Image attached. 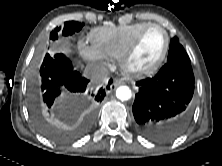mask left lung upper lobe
Returning <instances> with one entry per match:
<instances>
[{
  "instance_id": "1",
  "label": "left lung upper lobe",
  "mask_w": 222,
  "mask_h": 166,
  "mask_svg": "<svg viewBox=\"0 0 222 166\" xmlns=\"http://www.w3.org/2000/svg\"><path fill=\"white\" fill-rule=\"evenodd\" d=\"M167 60L168 62L175 60L190 61L188 54L183 46L179 43V39L177 37H173L171 39Z\"/></svg>"
}]
</instances>
